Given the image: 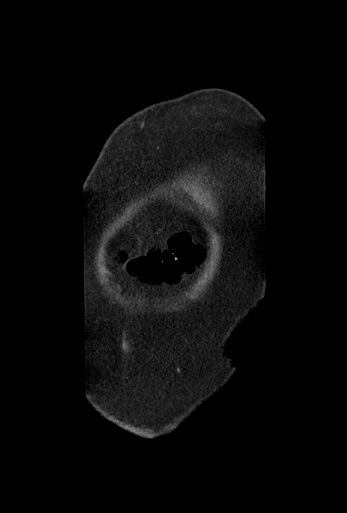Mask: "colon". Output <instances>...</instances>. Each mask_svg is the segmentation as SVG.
<instances>
[{
  "label": "colon",
  "mask_w": 347,
  "mask_h": 513,
  "mask_svg": "<svg viewBox=\"0 0 347 513\" xmlns=\"http://www.w3.org/2000/svg\"><path fill=\"white\" fill-rule=\"evenodd\" d=\"M121 260L125 255L119 254ZM204 258V250L186 233L173 236L166 250H152L142 258L126 260L129 272L150 285L177 283Z\"/></svg>",
  "instance_id": "5ec220e1"
}]
</instances>
